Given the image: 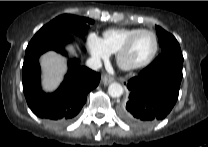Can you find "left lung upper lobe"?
Returning a JSON list of instances; mask_svg holds the SVG:
<instances>
[{
	"label": "left lung upper lobe",
	"instance_id": "1",
	"mask_svg": "<svg viewBox=\"0 0 208 147\" xmlns=\"http://www.w3.org/2000/svg\"><path fill=\"white\" fill-rule=\"evenodd\" d=\"M156 33L162 50L161 54L169 53L183 58L180 45L172 34L168 33L159 26H156Z\"/></svg>",
	"mask_w": 208,
	"mask_h": 147
}]
</instances>
